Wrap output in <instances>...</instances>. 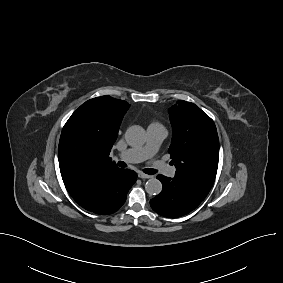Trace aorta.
I'll return each mask as SVG.
<instances>
[{
    "instance_id": "aorta-1",
    "label": "aorta",
    "mask_w": 283,
    "mask_h": 283,
    "mask_svg": "<svg viewBox=\"0 0 283 283\" xmlns=\"http://www.w3.org/2000/svg\"><path fill=\"white\" fill-rule=\"evenodd\" d=\"M125 139L130 146L143 145L146 140L145 130L139 125L130 126L125 133ZM145 190L150 195H158L162 191V183L151 178L146 182Z\"/></svg>"
}]
</instances>
